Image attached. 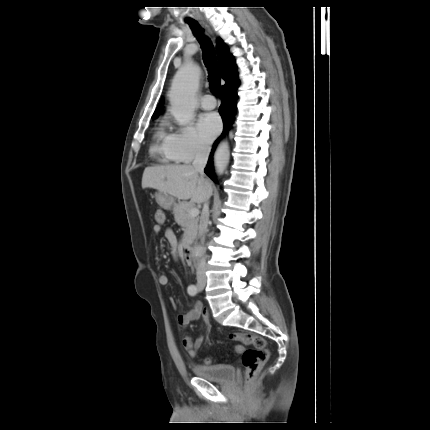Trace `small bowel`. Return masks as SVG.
I'll return each instance as SVG.
<instances>
[{"mask_svg":"<svg viewBox=\"0 0 430 430\" xmlns=\"http://www.w3.org/2000/svg\"><path fill=\"white\" fill-rule=\"evenodd\" d=\"M161 230H162V227L160 225L153 226L154 234L156 235L160 234ZM165 238L169 242L170 252L172 256L177 257L178 242L174 232L171 229H167L165 231ZM158 281L162 286H167L169 284V278L165 274L160 275ZM171 303H172V306L175 308L176 307L175 302L171 301ZM202 313H203L202 304L196 301L192 304L190 310L187 313L178 316L177 318L178 325L180 327H186L192 321L199 319ZM204 319L206 324H209L208 315L206 313H204ZM203 343H204V337L202 335L197 337L195 341H193L192 338L187 335H183L182 337V345L185 348L188 356L191 358L197 357L198 351L203 346ZM236 348L243 349L242 346H236Z\"/></svg>","mask_w":430,"mask_h":430,"instance_id":"c3829d8e","label":"small bowel"}]
</instances>
